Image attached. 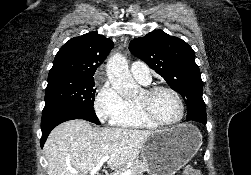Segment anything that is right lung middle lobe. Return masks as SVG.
I'll use <instances>...</instances> for the list:
<instances>
[{"mask_svg": "<svg viewBox=\"0 0 251 175\" xmlns=\"http://www.w3.org/2000/svg\"><path fill=\"white\" fill-rule=\"evenodd\" d=\"M94 82L67 78H48L45 106L62 105L94 111Z\"/></svg>", "mask_w": 251, "mask_h": 175, "instance_id": "dd1d6c3e", "label": "right lung middle lobe"}]
</instances>
